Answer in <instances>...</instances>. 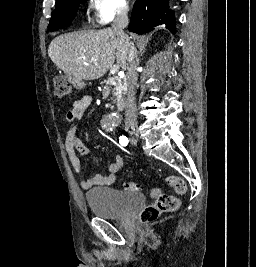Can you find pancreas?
<instances>
[{
    "label": "pancreas",
    "mask_w": 256,
    "mask_h": 267,
    "mask_svg": "<svg viewBox=\"0 0 256 267\" xmlns=\"http://www.w3.org/2000/svg\"><path fill=\"white\" fill-rule=\"evenodd\" d=\"M125 88V78H116L114 84L112 82V78H110V80H107L106 86H104V92L105 94H110L111 92L114 98L113 104H117V106H120V108H122L124 104V96L126 94Z\"/></svg>",
    "instance_id": "1"
}]
</instances>
